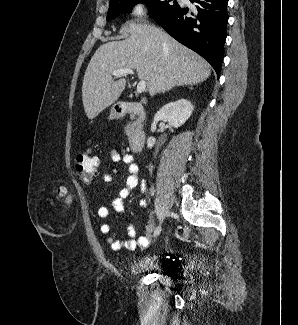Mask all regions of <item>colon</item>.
Listing matches in <instances>:
<instances>
[{
  "instance_id": "1",
  "label": "colon",
  "mask_w": 298,
  "mask_h": 325,
  "mask_svg": "<svg viewBox=\"0 0 298 325\" xmlns=\"http://www.w3.org/2000/svg\"><path fill=\"white\" fill-rule=\"evenodd\" d=\"M98 168V159L96 156L88 152H81L75 160V174L85 184H90L94 181ZM54 199L57 201H67V193L64 189H58L55 192Z\"/></svg>"
}]
</instances>
